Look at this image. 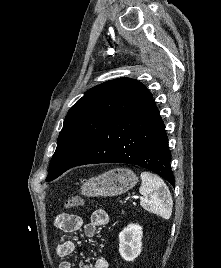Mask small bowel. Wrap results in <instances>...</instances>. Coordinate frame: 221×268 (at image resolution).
I'll list each match as a JSON object with an SVG mask.
<instances>
[{
  "label": "small bowel",
  "mask_w": 221,
  "mask_h": 268,
  "mask_svg": "<svg viewBox=\"0 0 221 268\" xmlns=\"http://www.w3.org/2000/svg\"><path fill=\"white\" fill-rule=\"evenodd\" d=\"M109 221V216L106 211L102 209L95 210L90 217L88 223H84L83 219L74 214H61L56 218L55 224L58 229L64 232L72 233L84 228L85 233L89 237L96 235L97 230L104 227ZM75 244L73 241H63L56 246V254L65 258L73 253ZM59 268H71L68 261H63ZM84 268H109V263L104 258H99L90 265H85Z\"/></svg>",
  "instance_id": "1"
}]
</instances>
